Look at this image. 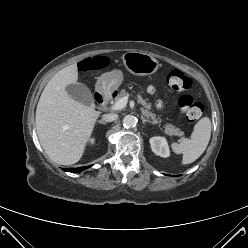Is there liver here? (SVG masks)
Wrapping results in <instances>:
<instances>
[{"instance_id": "6515ba94", "label": "liver", "mask_w": 248, "mask_h": 248, "mask_svg": "<svg viewBox=\"0 0 248 248\" xmlns=\"http://www.w3.org/2000/svg\"><path fill=\"white\" fill-rule=\"evenodd\" d=\"M77 64L58 71L44 88L36 109V131L41 146L54 162H78L100 112L72 99L66 87L77 83Z\"/></svg>"}]
</instances>
